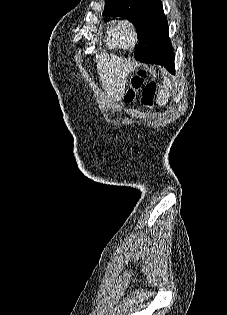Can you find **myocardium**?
<instances>
[{
	"mask_svg": "<svg viewBox=\"0 0 227 315\" xmlns=\"http://www.w3.org/2000/svg\"><path fill=\"white\" fill-rule=\"evenodd\" d=\"M116 33L120 47L123 49H133L139 42V35L136 25L129 19L122 20L116 28ZM131 36V42H126V35Z\"/></svg>",
	"mask_w": 227,
	"mask_h": 315,
	"instance_id": "1",
	"label": "myocardium"
}]
</instances>
